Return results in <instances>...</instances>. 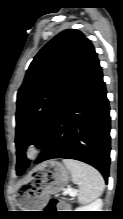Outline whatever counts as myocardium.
I'll list each match as a JSON object with an SVG mask.
<instances>
[{
    "mask_svg": "<svg viewBox=\"0 0 123 219\" xmlns=\"http://www.w3.org/2000/svg\"><path fill=\"white\" fill-rule=\"evenodd\" d=\"M40 151H41V146L38 142L36 141L30 142L25 147L24 158L27 161H33L39 156Z\"/></svg>",
    "mask_w": 123,
    "mask_h": 219,
    "instance_id": "obj_1",
    "label": "myocardium"
}]
</instances>
